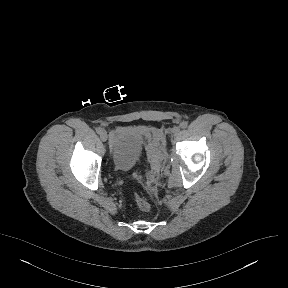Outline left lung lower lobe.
Masks as SVG:
<instances>
[{
  "instance_id": "1",
  "label": "left lung lower lobe",
  "mask_w": 288,
  "mask_h": 288,
  "mask_svg": "<svg viewBox=\"0 0 288 288\" xmlns=\"http://www.w3.org/2000/svg\"><path fill=\"white\" fill-rule=\"evenodd\" d=\"M266 208V202L263 198H259L254 207L251 209L249 214L251 215L255 211H259L257 218L253 221V225L256 227H260L264 221V210Z\"/></svg>"
}]
</instances>
